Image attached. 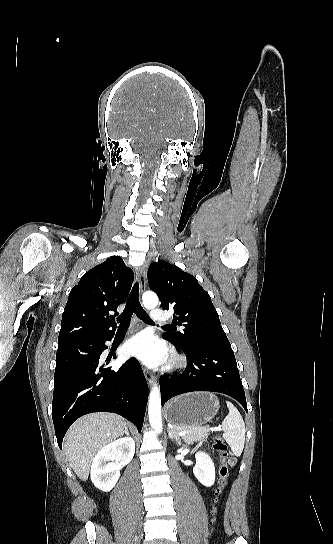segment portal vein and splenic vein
<instances>
[{
    "label": "portal vein and splenic vein",
    "instance_id": "obj_1",
    "mask_svg": "<svg viewBox=\"0 0 333 544\" xmlns=\"http://www.w3.org/2000/svg\"><path fill=\"white\" fill-rule=\"evenodd\" d=\"M218 430H221V429H220V428H218ZM185 434H186V432H185V431L179 432V435H181V436H182V435H185Z\"/></svg>",
    "mask_w": 333,
    "mask_h": 544
}]
</instances>
